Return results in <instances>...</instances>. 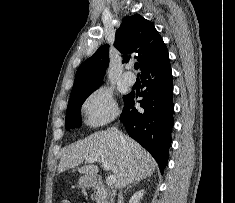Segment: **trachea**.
<instances>
[{"mask_svg":"<svg viewBox=\"0 0 235 203\" xmlns=\"http://www.w3.org/2000/svg\"><path fill=\"white\" fill-rule=\"evenodd\" d=\"M134 68L137 70L139 68V64L138 63H135L134 64Z\"/></svg>","mask_w":235,"mask_h":203,"instance_id":"3493384b","label":"trachea"}]
</instances>
